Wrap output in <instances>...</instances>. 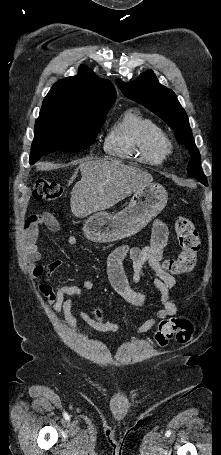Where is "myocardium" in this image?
<instances>
[{
    "instance_id": "f54148a6",
    "label": "myocardium",
    "mask_w": 221,
    "mask_h": 455,
    "mask_svg": "<svg viewBox=\"0 0 221 455\" xmlns=\"http://www.w3.org/2000/svg\"><path fill=\"white\" fill-rule=\"evenodd\" d=\"M164 145H165L166 149L169 146V143H168V141L165 138H164Z\"/></svg>"
}]
</instances>
